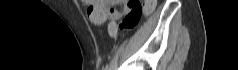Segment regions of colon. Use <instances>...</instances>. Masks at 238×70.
<instances>
[{"label": "colon", "instance_id": "obj_1", "mask_svg": "<svg viewBox=\"0 0 238 70\" xmlns=\"http://www.w3.org/2000/svg\"><path fill=\"white\" fill-rule=\"evenodd\" d=\"M126 6L128 8V14L125 16L122 26L131 29L135 27L143 14L151 13L155 6L156 0H145L143 3L139 0H127ZM119 30V21L117 19H110L108 25V33L111 37H116Z\"/></svg>", "mask_w": 238, "mask_h": 70}]
</instances>
